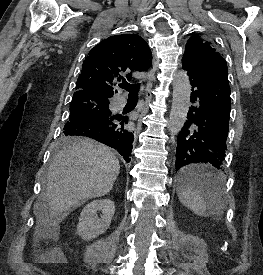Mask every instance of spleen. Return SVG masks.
<instances>
[{
	"label": "spleen",
	"instance_id": "obj_1",
	"mask_svg": "<svg viewBox=\"0 0 263 275\" xmlns=\"http://www.w3.org/2000/svg\"><path fill=\"white\" fill-rule=\"evenodd\" d=\"M203 168L207 166H202ZM214 171V170H211ZM216 174L219 177V182L217 185V188L211 195L213 199L211 201L215 202L217 205V208L219 210L224 208V195H225V176L222 172L216 171ZM178 197L180 202L189 208L192 212L197 214L198 216H207L208 215V209L210 205V201L206 196L203 194V192L196 188L194 185L190 183H185L181 185L178 189Z\"/></svg>",
	"mask_w": 263,
	"mask_h": 275
}]
</instances>
